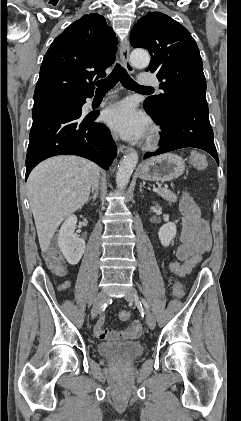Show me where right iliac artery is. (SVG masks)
<instances>
[{
  "mask_svg": "<svg viewBox=\"0 0 241 421\" xmlns=\"http://www.w3.org/2000/svg\"><path fill=\"white\" fill-rule=\"evenodd\" d=\"M107 307V303H104L103 306L101 307V311H104Z\"/></svg>",
  "mask_w": 241,
  "mask_h": 421,
  "instance_id": "right-iliac-artery-1",
  "label": "right iliac artery"
}]
</instances>
